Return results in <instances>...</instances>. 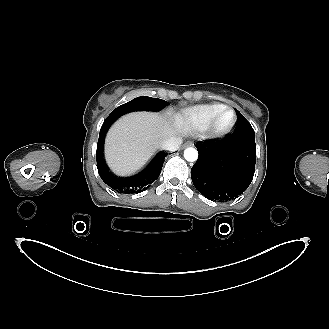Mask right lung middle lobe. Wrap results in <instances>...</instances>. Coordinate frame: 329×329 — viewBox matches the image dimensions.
Wrapping results in <instances>:
<instances>
[{
  "mask_svg": "<svg viewBox=\"0 0 329 329\" xmlns=\"http://www.w3.org/2000/svg\"><path fill=\"white\" fill-rule=\"evenodd\" d=\"M168 105L167 101H164L159 98H152V97H137L130 102H127L116 109H114L111 114L107 117L109 120H115L120 115L134 110L140 109H150V110H160Z\"/></svg>",
  "mask_w": 329,
  "mask_h": 329,
  "instance_id": "obj_1",
  "label": "right lung middle lobe"
}]
</instances>
